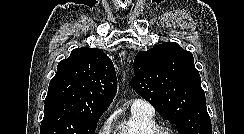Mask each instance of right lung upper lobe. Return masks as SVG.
Listing matches in <instances>:
<instances>
[{
  "label": "right lung upper lobe",
  "instance_id": "cb5924a9",
  "mask_svg": "<svg viewBox=\"0 0 244 134\" xmlns=\"http://www.w3.org/2000/svg\"><path fill=\"white\" fill-rule=\"evenodd\" d=\"M117 91L112 61L98 48L72 50L59 62L51 79L45 106L58 104L92 115H102Z\"/></svg>",
  "mask_w": 244,
  "mask_h": 134
}]
</instances>
